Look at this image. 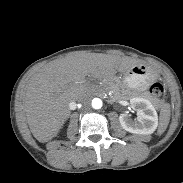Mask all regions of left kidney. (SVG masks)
Here are the masks:
<instances>
[{
	"label": "left kidney",
	"mask_w": 183,
	"mask_h": 183,
	"mask_svg": "<svg viewBox=\"0 0 183 183\" xmlns=\"http://www.w3.org/2000/svg\"><path fill=\"white\" fill-rule=\"evenodd\" d=\"M130 104L137 108V120L133 121L127 113H122L119 116L122 128L134 134H152L158 126L157 112L152 103L145 98L134 97Z\"/></svg>",
	"instance_id": "left-kidney-1"
}]
</instances>
